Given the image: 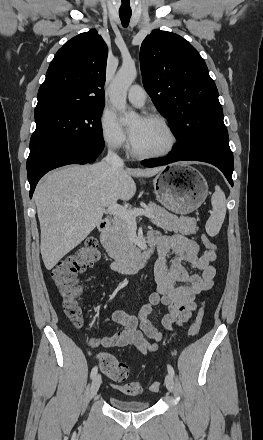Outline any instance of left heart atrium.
<instances>
[{"label":"left heart atrium","mask_w":263,"mask_h":440,"mask_svg":"<svg viewBox=\"0 0 263 440\" xmlns=\"http://www.w3.org/2000/svg\"><path fill=\"white\" fill-rule=\"evenodd\" d=\"M135 130H130V136H131V139L133 140V138H134V136H135Z\"/></svg>","instance_id":"left-heart-atrium-1"}]
</instances>
